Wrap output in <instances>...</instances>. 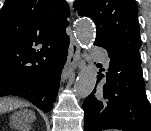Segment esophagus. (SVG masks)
Wrapping results in <instances>:
<instances>
[{"instance_id": "34e87169", "label": "esophagus", "mask_w": 151, "mask_h": 131, "mask_svg": "<svg viewBox=\"0 0 151 131\" xmlns=\"http://www.w3.org/2000/svg\"><path fill=\"white\" fill-rule=\"evenodd\" d=\"M80 56V47L72 37L67 61L62 72V80L66 79V77L70 76L76 68L81 66Z\"/></svg>"}]
</instances>
